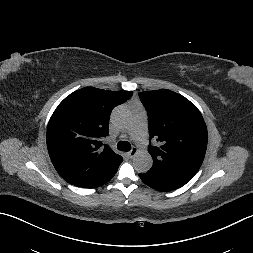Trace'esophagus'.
Segmentation results:
<instances>
[{"label":"esophagus","instance_id":"1","mask_svg":"<svg viewBox=\"0 0 253 253\" xmlns=\"http://www.w3.org/2000/svg\"><path fill=\"white\" fill-rule=\"evenodd\" d=\"M138 152V149L136 147H133L130 152H128L129 157H134Z\"/></svg>","mask_w":253,"mask_h":253}]
</instances>
